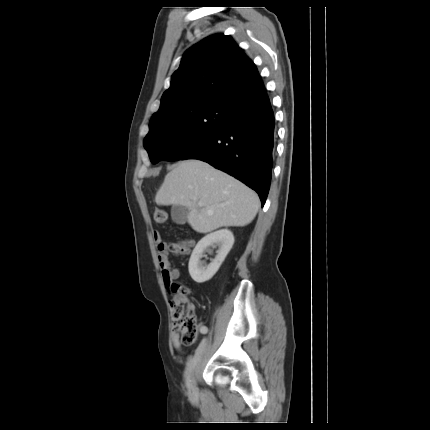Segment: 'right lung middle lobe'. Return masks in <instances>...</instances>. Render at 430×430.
I'll return each mask as SVG.
<instances>
[{
  "label": "right lung middle lobe",
  "instance_id": "1",
  "mask_svg": "<svg viewBox=\"0 0 430 430\" xmlns=\"http://www.w3.org/2000/svg\"><path fill=\"white\" fill-rule=\"evenodd\" d=\"M225 106L210 102L149 125L143 145L153 164L181 160L215 136L227 118Z\"/></svg>",
  "mask_w": 430,
  "mask_h": 430
}]
</instances>
